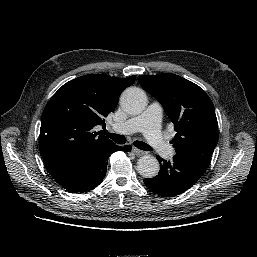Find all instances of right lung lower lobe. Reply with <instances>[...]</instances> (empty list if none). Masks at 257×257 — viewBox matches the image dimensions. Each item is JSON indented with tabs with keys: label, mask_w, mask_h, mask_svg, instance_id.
Listing matches in <instances>:
<instances>
[{
	"label": "right lung lower lobe",
	"mask_w": 257,
	"mask_h": 257,
	"mask_svg": "<svg viewBox=\"0 0 257 257\" xmlns=\"http://www.w3.org/2000/svg\"><path fill=\"white\" fill-rule=\"evenodd\" d=\"M118 150L129 152L131 146L121 147L113 144L76 162L53 177L58 184L71 192H87L92 190L105 177L107 160L110 154Z\"/></svg>",
	"instance_id": "98d812e1"
}]
</instances>
